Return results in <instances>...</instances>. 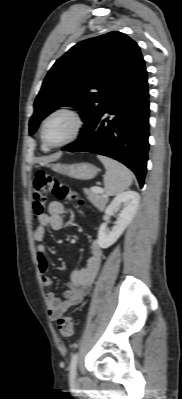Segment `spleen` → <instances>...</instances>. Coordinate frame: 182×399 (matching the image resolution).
<instances>
[{
  "mask_svg": "<svg viewBox=\"0 0 182 399\" xmlns=\"http://www.w3.org/2000/svg\"><path fill=\"white\" fill-rule=\"evenodd\" d=\"M98 159L104 164L106 173L104 175L105 190L108 195H117L128 189L133 180L132 172L118 161L98 156Z\"/></svg>",
  "mask_w": 182,
  "mask_h": 399,
  "instance_id": "spleen-1",
  "label": "spleen"
}]
</instances>
